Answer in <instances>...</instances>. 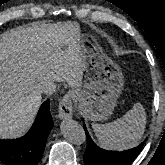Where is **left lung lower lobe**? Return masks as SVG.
Wrapping results in <instances>:
<instances>
[{
    "instance_id": "1",
    "label": "left lung lower lobe",
    "mask_w": 165,
    "mask_h": 165,
    "mask_svg": "<svg viewBox=\"0 0 165 165\" xmlns=\"http://www.w3.org/2000/svg\"><path fill=\"white\" fill-rule=\"evenodd\" d=\"M87 136V149L84 153L85 165H129L139 154L145 142L139 146L118 152L107 151L99 148L91 139L85 125L83 126Z\"/></svg>"
}]
</instances>
